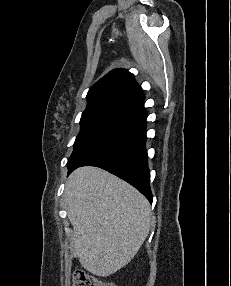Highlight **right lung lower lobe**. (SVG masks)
I'll use <instances>...</instances> for the list:
<instances>
[{
    "label": "right lung lower lobe",
    "instance_id": "1",
    "mask_svg": "<svg viewBox=\"0 0 231 286\" xmlns=\"http://www.w3.org/2000/svg\"><path fill=\"white\" fill-rule=\"evenodd\" d=\"M146 116V110L140 108L136 117L115 128L77 161L68 164V174L84 165L103 168L133 185L152 203L145 151Z\"/></svg>",
    "mask_w": 231,
    "mask_h": 286
}]
</instances>
